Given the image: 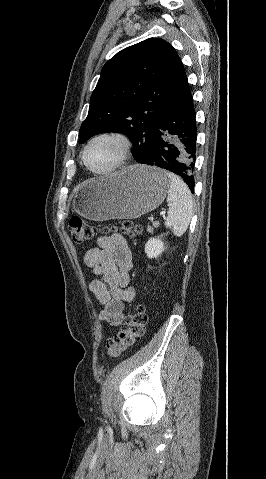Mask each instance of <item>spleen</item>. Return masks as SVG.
Listing matches in <instances>:
<instances>
[{"instance_id":"1","label":"spleen","mask_w":266,"mask_h":479,"mask_svg":"<svg viewBox=\"0 0 266 479\" xmlns=\"http://www.w3.org/2000/svg\"><path fill=\"white\" fill-rule=\"evenodd\" d=\"M167 175L170 180L167 192L169 210L164 225L171 229L175 236L180 237L186 232L193 216L192 196L182 179L173 173Z\"/></svg>"}]
</instances>
